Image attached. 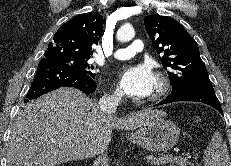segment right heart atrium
Returning <instances> with one entry per match:
<instances>
[{"label":"right heart atrium","mask_w":231,"mask_h":166,"mask_svg":"<svg viewBox=\"0 0 231 166\" xmlns=\"http://www.w3.org/2000/svg\"><path fill=\"white\" fill-rule=\"evenodd\" d=\"M110 96H111L112 98H115V99L119 98V97H120V92H119V90H114V91L110 94Z\"/></svg>","instance_id":"d8ad5b80"}]
</instances>
